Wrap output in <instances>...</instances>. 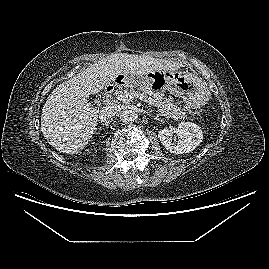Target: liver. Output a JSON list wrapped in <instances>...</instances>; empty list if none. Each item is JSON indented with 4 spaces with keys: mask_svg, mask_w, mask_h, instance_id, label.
I'll return each mask as SVG.
<instances>
[{
    "mask_svg": "<svg viewBox=\"0 0 269 269\" xmlns=\"http://www.w3.org/2000/svg\"><path fill=\"white\" fill-rule=\"evenodd\" d=\"M181 63L146 55L117 53L89 66L63 84L48 97L41 114L44 138L57 151L77 154L92 138L99 109L88 102L120 74L145 75L152 71H176Z\"/></svg>",
    "mask_w": 269,
    "mask_h": 269,
    "instance_id": "6515ba94",
    "label": "liver"
}]
</instances>
